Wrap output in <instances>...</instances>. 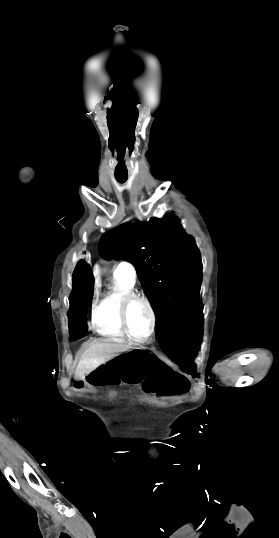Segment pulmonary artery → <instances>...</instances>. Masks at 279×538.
Returning a JSON list of instances; mask_svg holds the SVG:
<instances>
[{
    "instance_id": "obj_1",
    "label": "pulmonary artery",
    "mask_w": 279,
    "mask_h": 538,
    "mask_svg": "<svg viewBox=\"0 0 279 538\" xmlns=\"http://www.w3.org/2000/svg\"><path fill=\"white\" fill-rule=\"evenodd\" d=\"M113 273L114 275L125 277L130 282H135L136 280V271L134 267L125 261L116 263L113 267Z\"/></svg>"
}]
</instances>
